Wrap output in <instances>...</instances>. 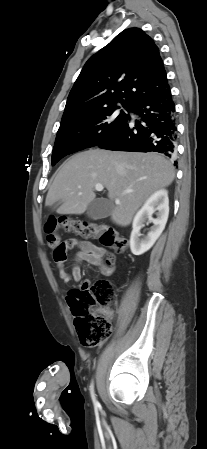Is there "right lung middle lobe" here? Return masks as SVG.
Listing matches in <instances>:
<instances>
[{"mask_svg": "<svg viewBox=\"0 0 207 449\" xmlns=\"http://www.w3.org/2000/svg\"><path fill=\"white\" fill-rule=\"evenodd\" d=\"M115 110L116 107H110L61 120L52 152V165L66 155L101 144L117 132L129 116L124 111L116 116Z\"/></svg>", "mask_w": 207, "mask_h": 449, "instance_id": "right-lung-middle-lobe-1", "label": "right lung middle lobe"}]
</instances>
